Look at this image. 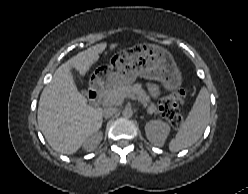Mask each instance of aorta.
Segmentation results:
<instances>
[{
    "label": "aorta",
    "instance_id": "1",
    "mask_svg": "<svg viewBox=\"0 0 248 194\" xmlns=\"http://www.w3.org/2000/svg\"><path fill=\"white\" fill-rule=\"evenodd\" d=\"M123 117L131 118L133 116V111L131 108H125L122 112Z\"/></svg>",
    "mask_w": 248,
    "mask_h": 194
}]
</instances>
